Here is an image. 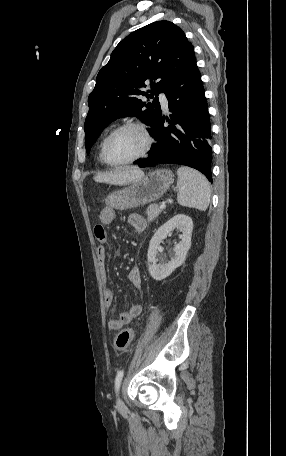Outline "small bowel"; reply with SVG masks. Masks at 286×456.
<instances>
[{"mask_svg": "<svg viewBox=\"0 0 286 456\" xmlns=\"http://www.w3.org/2000/svg\"><path fill=\"white\" fill-rule=\"evenodd\" d=\"M115 217V212L112 208H104L100 214L101 225L95 227V235L98 240L97 256L99 260L101 277L105 285L103 297L106 306H111L114 301V293L110 287H108V276L106 267V254H107V233L104 225L112 223ZM128 223L135 230L137 234H142L146 229V221L139 214H130L128 216ZM129 281L137 288L142 287L141 271L138 267L133 268L128 274ZM143 310L141 304L132 305L129 310L120 313L117 318H113L108 322V328L111 331L119 330L124 325L130 323L133 319L137 318Z\"/></svg>", "mask_w": 286, "mask_h": 456, "instance_id": "small-bowel-1", "label": "small bowel"}]
</instances>
